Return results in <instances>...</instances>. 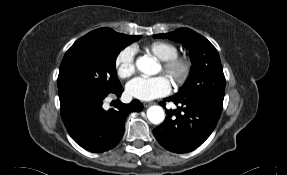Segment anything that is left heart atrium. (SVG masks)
<instances>
[{"label":"left heart atrium","instance_id":"obj_1","mask_svg":"<svg viewBox=\"0 0 287 175\" xmlns=\"http://www.w3.org/2000/svg\"><path fill=\"white\" fill-rule=\"evenodd\" d=\"M126 89L131 97L149 101L167 95L171 90V84L164 75L136 77L127 84Z\"/></svg>","mask_w":287,"mask_h":175}]
</instances>
